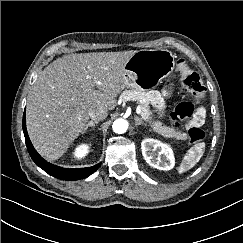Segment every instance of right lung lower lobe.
<instances>
[{"mask_svg":"<svg viewBox=\"0 0 243 243\" xmlns=\"http://www.w3.org/2000/svg\"><path fill=\"white\" fill-rule=\"evenodd\" d=\"M23 131L26 141V146L28 149V152L32 158V160L36 163L37 166L42 168L45 172L50 174L53 177H56L58 179L62 180H78L83 179L85 177H88L90 174L94 173L101 165V163L96 164L92 167L87 168H78V169H66L61 168L58 166H55L53 164H50L46 162L34 149L33 145L31 144V141L29 139L27 130H26V121H25V113L23 115Z\"/></svg>","mask_w":243,"mask_h":243,"instance_id":"obj_1","label":"right lung lower lobe"}]
</instances>
